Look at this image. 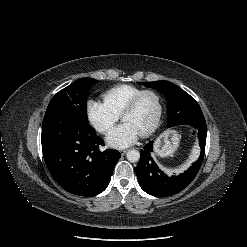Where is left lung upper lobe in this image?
<instances>
[{
    "label": "left lung upper lobe",
    "instance_id": "5c2ea615",
    "mask_svg": "<svg viewBox=\"0 0 247 247\" xmlns=\"http://www.w3.org/2000/svg\"><path fill=\"white\" fill-rule=\"evenodd\" d=\"M165 95L168 109V127L186 125L194 129L206 124L200 106L187 92L168 81L139 82Z\"/></svg>",
    "mask_w": 247,
    "mask_h": 247
}]
</instances>
